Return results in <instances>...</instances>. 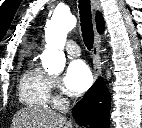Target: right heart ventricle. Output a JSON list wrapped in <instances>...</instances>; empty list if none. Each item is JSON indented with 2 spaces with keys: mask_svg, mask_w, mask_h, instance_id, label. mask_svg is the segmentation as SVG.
Listing matches in <instances>:
<instances>
[{
  "mask_svg": "<svg viewBox=\"0 0 142 128\" xmlns=\"http://www.w3.org/2000/svg\"><path fill=\"white\" fill-rule=\"evenodd\" d=\"M48 76L34 65L23 72L19 83L20 101L32 107H45L50 102Z\"/></svg>",
  "mask_w": 142,
  "mask_h": 128,
  "instance_id": "e07e8e85",
  "label": "right heart ventricle"
}]
</instances>
